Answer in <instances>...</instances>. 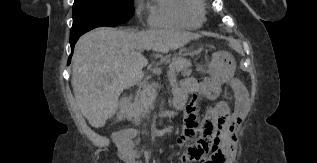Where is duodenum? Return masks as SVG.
<instances>
[{
	"label": "duodenum",
	"instance_id": "obj_1",
	"mask_svg": "<svg viewBox=\"0 0 317 163\" xmlns=\"http://www.w3.org/2000/svg\"><path fill=\"white\" fill-rule=\"evenodd\" d=\"M130 107V98L125 96L121 99L116 118L118 120H125Z\"/></svg>",
	"mask_w": 317,
	"mask_h": 163
}]
</instances>
